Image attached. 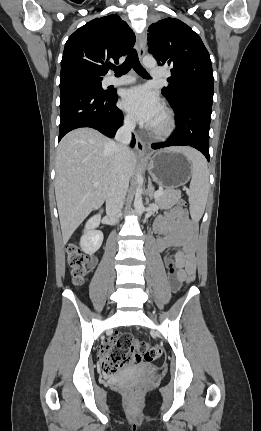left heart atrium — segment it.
Instances as JSON below:
<instances>
[{
	"label": "left heart atrium",
	"mask_w": 261,
	"mask_h": 431,
	"mask_svg": "<svg viewBox=\"0 0 261 431\" xmlns=\"http://www.w3.org/2000/svg\"><path fill=\"white\" fill-rule=\"evenodd\" d=\"M122 107L131 116L148 126H155L163 113L160 100L145 86H136L127 90L122 98Z\"/></svg>",
	"instance_id": "1"
}]
</instances>
